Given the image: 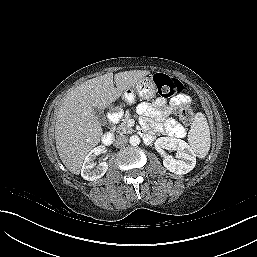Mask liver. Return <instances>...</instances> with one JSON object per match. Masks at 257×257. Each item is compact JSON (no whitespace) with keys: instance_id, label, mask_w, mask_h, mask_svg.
Segmentation results:
<instances>
[{"instance_id":"1","label":"liver","mask_w":257,"mask_h":257,"mask_svg":"<svg viewBox=\"0 0 257 257\" xmlns=\"http://www.w3.org/2000/svg\"><path fill=\"white\" fill-rule=\"evenodd\" d=\"M148 74L149 71L141 70L120 72L114 76L107 73L87 80L68 93L57 114L55 140L60 159L71 173H80L87 153L98 145L103 135L94 108H108L124 91Z\"/></svg>"}]
</instances>
